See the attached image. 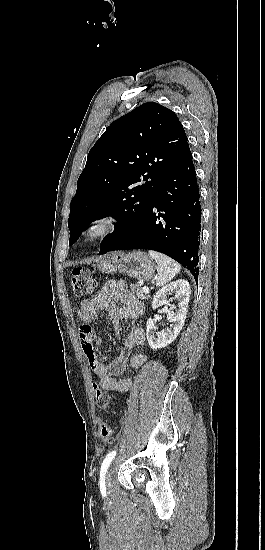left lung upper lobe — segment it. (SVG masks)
<instances>
[{
	"instance_id": "obj_1",
	"label": "left lung upper lobe",
	"mask_w": 265,
	"mask_h": 550,
	"mask_svg": "<svg viewBox=\"0 0 265 550\" xmlns=\"http://www.w3.org/2000/svg\"><path fill=\"white\" fill-rule=\"evenodd\" d=\"M188 138L170 109L145 103L114 121L90 150L70 205L69 245L92 222L114 217L111 245L141 219L165 177L188 149Z\"/></svg>"
}]
</instances>
